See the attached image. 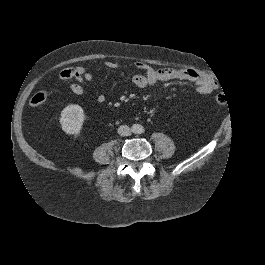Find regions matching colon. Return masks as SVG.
Segmentation results:
<instances>
[{
	"label": "colon",
	"mask_w": 265,
	"mask_h": 265,
	"mask_svg": "<svg viewBox=\"0 0 265 265\" xmlns=\"http://www.w3.org/2000/svg\"><path fill=\"white\" fill-rule=\"evenodd\" d=\"M76 72H77L76 68L64 69L59 73V78L63 79V80L71 79L76 75ZM46 99H47L46 92L39 91L32 96L30 103L32 106L38 107V106L43 105L45 103ZM216 101L219 104H224L226 102V96L224 95V93L217 94Z\"/></svg>",
	"instance_id": "obj_1"
}]
</instances>
